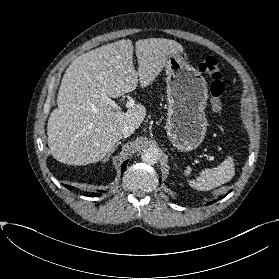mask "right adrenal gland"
Instances as JSON below:
<instances>
[{
	"label": "right adrenal gland",
	"mask_w": 279,
	"mask_h": 279,
	"mask_svg": "<svg viewBox=\"0 0 279 279\" xmlns=\"http://www.w3.org/2000/svg\"><path fill=\"white\" fill-rule=\"evenodd\" d=\"M121 144V141H118L116 143V145L114 146V148L111 150V152L108 153V155L105 157V159H103V162H106L109 160V158L111 157V155L114 153V151L117 149V147Z\"/></svg>",
	"instance_id": "1"
}]
</instances>
